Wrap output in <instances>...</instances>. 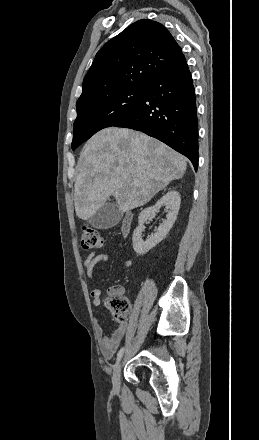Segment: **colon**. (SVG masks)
<instances>
[{"mask_svg":"<svg viewBox=\"0 0 259 440\" xmlns=\"http://www.w3.org/2000/svg\"><path fill=\"white\" fill-rule=\"evenodd\" d=\"M80 243L84 249L91 250L102 247L104 241L98 230L85 225L82 227ZM104 304L110 309L118 323L122 324L126 321L131 306L130 303L120 295V289L118 287H113L109 290Z\"/></svg>","mask_w":259,"mask_h":440,"instance_id":"5ec220e1","label":"colon"}]
</instances>
